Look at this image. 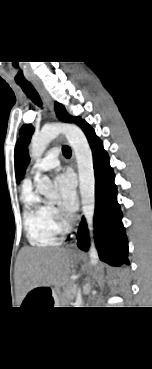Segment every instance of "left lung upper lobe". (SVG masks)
Returning <instances> with one entry per match:
<instances>
[{
  "label": "left lung upper lobe",
  "mask_w": 152,
  "mask_h": 369,
  "mask_svg": "<svg viewBox=\"0 0 152 369\" xmlns=\"http://www.w3.org/2000/svg\"><path fill=\"white\" fill-rule=\"evenodd\" d=\"M55 111L57 117L61 121L69 123L74 122L78 125L82 122L79 117L70 116L65 110L64 106L57 102H55ZM33 131V127L29 124L22 126L20 129L21 138L18 139L15 147V171L18 183L22 179L29 162L27 146L30 142Z\"/></svg>",
  "instance_id": "left-lung-upper-lobe-1"
}]
</instances>
